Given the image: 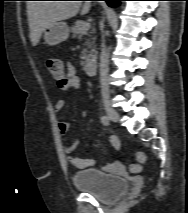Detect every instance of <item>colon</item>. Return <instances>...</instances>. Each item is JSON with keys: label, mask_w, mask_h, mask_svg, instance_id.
I'll return each instance as SVG.
<instances>
[{"label": "colon", "mask_w": 188, "mask_h": 213, "mask_svg": "<svg viewBox=\"0 0 188 213\" xmlns=\"http://www.w3.org/2000/svg\"><path fill=\"white\" fill-rule=\"evenodd\" d=\"M47 67L55 78H60L63 76V68H62L61 61L59 59H56V58L48 59ZM135 160H136V162L134 164H132L130 167V171L132 173H138L141 170V165L145 161L144 152L138 151L135 154Z\"/></svg>", "instance_id": "1"}]
</instances>
